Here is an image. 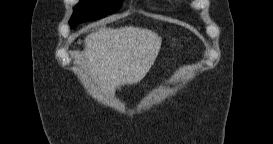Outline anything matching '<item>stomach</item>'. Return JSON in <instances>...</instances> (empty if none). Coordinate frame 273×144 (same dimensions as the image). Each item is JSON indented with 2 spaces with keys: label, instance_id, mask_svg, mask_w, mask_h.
<instances>
[{
  "label": "stomach",
  "instance_id": "0dacf381",
  "mask_svg": "<svg viewBox=\"0 0 273 144\" xmlns=\"http://www.w3.org/2000/svg\"><path fill=\"white\" fill-rule=\"evenodd\" d=\"M174 44H175V41L172 42V45H174Z\"/></svg>",
  "mask_w": 273,
  "mask_h": 144
}]
</instances>
